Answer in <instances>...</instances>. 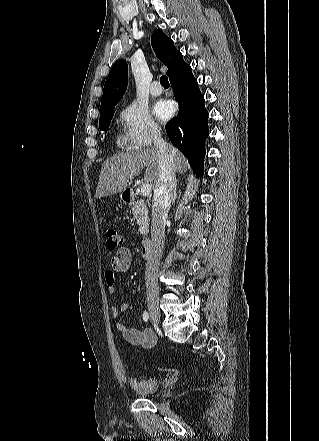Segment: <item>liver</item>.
Returning a JSON list of instances; mask_svg holds the SVG:
<instances>
[{
	"instance_id": "1",
	"label": "liver",
	"mask_w": 319,
	"mask_h": 441,
	"mask_svg": "<svg viewBox=\"0 0 319 441\" xmlns=\"http://www.w3.org/2000/svg\"><path fill=\"white\" fill-rule=\"evenodd\" d=\"M173 148L174 170L185 173L188 161L176 148ZM147 168L144 181L155 190L159 179L158 153L156 148L120 153L104 161L95 192L96 198L110 196L125 190L132 184L134 176Z\"/></svg>"
}]
</instances>
